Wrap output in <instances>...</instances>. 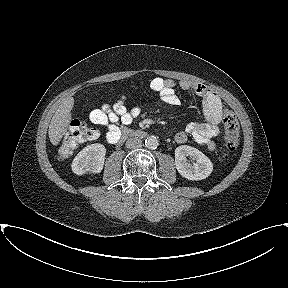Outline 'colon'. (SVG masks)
Returning <instances> with one entry per match:
<instances>
[{"mask_svg": "<svg viewBox=\"0 0 288 288\" xmlns=\"http://www.w3.org/2000/svg\"><path fill=\"white\" fill-rule=\"evenodd\" d=\"M224 128H225V147L226 151L222 154L223 159H227L230 152H233L239 142V124L235 115L227 108L223 110ZM99 133L96 129L90 127L82 120H73L62 139L59 147V156L61 158L69 157L79 145L84 142L94 140Z\"/></svg>", "mask_w": 288, "mask_h": 288, "instance_id": "5ec220e1", "label": "colon"}]
</instances>
